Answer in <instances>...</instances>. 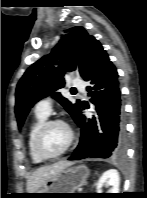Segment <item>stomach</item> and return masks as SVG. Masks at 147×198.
<instances>
[{
  "mask_svg": "<svg viewBox=\"0 0 147 198\" xmlns=\"http://www.w3.org/2000/svg\"><path fill=\"white\" fill-rule=\"evenodd\" d=\"M89 171L83 165L68 167L59 172L55 177L47 181L40 189L31 196L33 198H58L62 194L50 193H73L77 188L86 184Z\"/></svg>",
  "mask_w": 147,
  "mask_h": 198,
  "instance_id": "0dacf381",
  "label": "stomach"
}]
</instances>
